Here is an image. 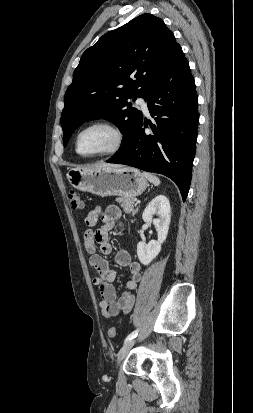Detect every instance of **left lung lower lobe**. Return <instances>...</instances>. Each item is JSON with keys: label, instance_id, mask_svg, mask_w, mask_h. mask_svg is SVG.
<instances>
[{"label": "left lung lower lobe", "instance_id": "1", "mask_svg": "<svg viewBox=\"0 0 253 413\" xmlns=\"http://www.w3.org/2000/svg\"><path fill=\"white\" fill-rule=\"evenodd\" d=\"M148 109L155 124L145 134L143 118L131 143L109 163L125 164L163 174L172 179L186 200L192 177L197 140L198 97L189 63L181 47L162 79L148 96Z\"/></svg>", "mask_w": 253, "mask_h": 413}]
</instances>
